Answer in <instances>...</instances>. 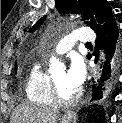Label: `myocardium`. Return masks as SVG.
I'll use <instances>...</instances> for the list:
<instances>
[{"instance_id":"1","label":"myocardium","mask_w":122,"mask_h":123,"mask_svg":"<svg viewBox=\"0 0 122 123\" xmlns=\"http://www.w3.org/2000/svg\"><path fill=\"white\" fill-rule=\"evenodd\" d=\"M50 93H51V97H52L53 101L60 105L74 104L80 99V97L82 95V91L77 90V92L75 94H73L72 96H69V97L63 96L60 93V90H59L55 80L53 79V77H50Z\"/></svg>"}]
</instances>
